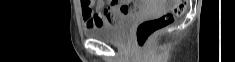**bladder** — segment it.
<instances>
[{"instance_id":"bladder-1","label":"bladder","mask_w":235,"mask_h":62,"mask_svg":"<svg viewBox=\"0 0 235 62\" xmlns=\"http://www.w3.org/2000/svg\"><path fill=\"white\" fill-rule=\"evenodd\" d=\"M135 18L136 14L134 12L122 13L117 17L114 23L89 29L86 35L105 43H121L127 37Z\"/></svg>"}]
</instances>
